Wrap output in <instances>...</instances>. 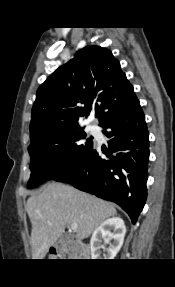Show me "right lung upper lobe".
<instances>
[{"mask_svg":"<svg viewBox=\"0 0 175 287\" xmlns=\"http://www.w3.org/2000/svg\"><path fill=\"white\" fill-rule=\"evenodd\" d=\"M137 101L111 51L87 46L38 88L30 124L31 143L77 128L91 109L101 123Z\"/></svg>","mask_w":175,"mask_h":287,"instance_id":"obj_1","label":"right lung upper lobe"}]
</instances>
